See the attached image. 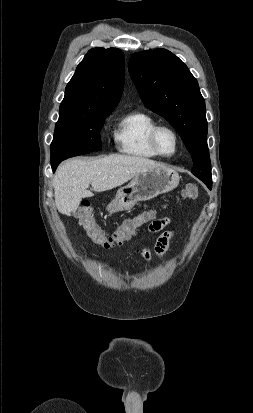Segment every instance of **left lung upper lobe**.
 <instances>
[{"instance_id": "5c2ea615", "label": "left lung upper lobe", "mask_w": 253, "mask_h": 413, "mask_svg": "<svg viewBox=\"0 0 253 413\" xmlns=\"http://www.w3.org/2000/svg\"><path fill=\"white\" fill-rule=\"evenodd\" d=\"M128 70L145 106L164 117L192 155V173L211 180L205 101L187 66L166 49L132 55Z\"/></svg>"}]
</instances>
